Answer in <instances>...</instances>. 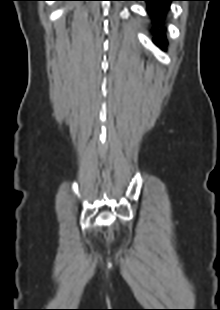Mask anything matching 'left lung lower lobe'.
<instances>
[{"instance_id": "1", "label": "left lung lower lobe", "mask_w": 220, "mask_h": 310, "mask_svg": "<svg viewBox=\"0 0 220 310\" xmlns=\"http://www.w3.org/2000/svg\"><path fill=\"white\" fill-rule=\"evenodd\" d=\"M147 2V12L151 17L155 26H160V24L165 20L166 13L169 10L170 3L177 0H141ZM154 31V39L156 45L164 49L167 45L165 35L158 31L157 28H152Z\"/></svg>"}]
</instances>
